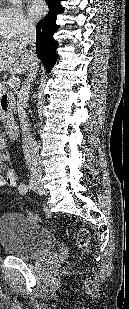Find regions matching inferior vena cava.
<instances>
[{
  "label": "inferior vena cava",
  "instance_id": "inferior-vena-cava-1",
  "mask_svg": "<svg viewBox=\"0 0 129 309\" xmlns=\"http://www.w3.org/2000/svg\"><path fill=\"white\" fill-rule=\"evenodd\" d=\"M35 39H36V30H35L34 24L29 21H25L21 27V35L19 38V42L24 47H27V45H30L31 49L28 51V54H29L30 59L33 62V67L28 72L27 77L25 81L23 82L21 89L17 94L18 116L21 121V124L25 127V129L28 126L27 114H26L25 109L27 107V103L29 100L30 85L34 80L36 72L39 67L38 57L35 51L36 50ZM26 156H27V159L32 163V166H34L35 168L39 167V163H38L39 155H38L37 143L32 138H30L29 140V147H28Z\"/></svg>",
  "mask_w": 129,
  "mask_h": 309
}]
</instances>
